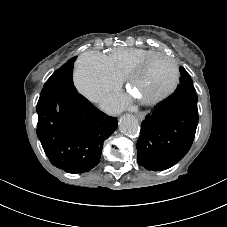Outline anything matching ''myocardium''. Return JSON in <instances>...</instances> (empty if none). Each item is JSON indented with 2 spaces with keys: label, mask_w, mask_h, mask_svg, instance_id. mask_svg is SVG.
<instances>
[{
  "label": "myocardium",
  "mask_w": 227,
  "mask_h": 227,
  "mask_svg": "<svg viewBox=\"0 0 227 227\" xmlns=\"http://www.w3.org/2000/svg\"><path fill=\"white\" fill-rule=\"evenodd\" d=\"M158 57H165L171 61L172 65H173V78H172L170 85L165 90H163L159 93H156L147 98H139V100L143 104H146V105L155 104V103L163 100L164 98H166L168 95H170L176 89L178 82H179V66H178L176 59L173 56L168 55L164 52H155V53L145 57L144 59H142L129 71V73L126 77L128 86L130 88H132L136 77L142 72L144 67L147 66L153 59L158 58Z\"/></svg>",
  "instance_id": "obj_1"
}]
</instances>
